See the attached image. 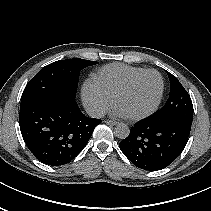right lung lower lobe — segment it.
Here are the masks:
<instances>
[{
    "label": "right lung lower lobe",
    "instance_id": "obj_1",
    "mask_svg": "<svg viewBox=\"0 0 211 211\" xmlns=\"http://www.w3.org/2000/svg\"><path fill=\"white\" fill-rule=\"evenodd\" d=\"M100 123L83 115L74 99L51 97L20 107L24 142L39 161L51 166L71 162Z\"/></svg>",
    "mask_w": 211,
    "mask_h": 211
}]
</instances>
